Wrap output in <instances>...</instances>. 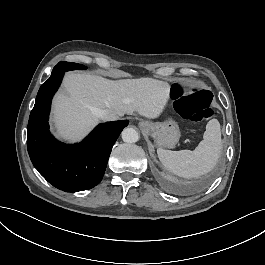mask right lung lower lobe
Listing matches in <instances>:
<instances>
[{"instance_id":"1","label":"right lung lower lobe","mask_w":265,"mask_h":265,"mask_svg":"<svg viewBox=\"0 0 265 265\" xmlns=\"http://www.w3.org/2000/svg\"><path fill=\"white\" fill-rule=\"evenodd\" d=\"M64 72H53L38 91L28 122L27 148L34 167L49 183L65 192H77L99 184L112 146L129 121L100 124L84 141L74 145L54 139L48 117Z\"/></svg>"}]
</instances>
